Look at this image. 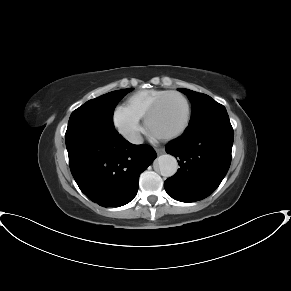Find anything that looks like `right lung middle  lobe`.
Instances as JSON below:
<instances>
[{"mask_svg":"<svg viewBox=\"0 0 291 291\" xmlns=\"http://www.w3.org/2000/svg\"><path fill=\"white\" fill-rule=\"evenodd\" d=\"M133 88L112 91L100 97L87 101L74 110L69 118V124L77 122L96 123L109 127L113 125V112L117 103Z\"/></svg>","mask_w":291,"mask_h":291,"instance_id":"dd1d6c3e","label":"right lung middle lobe"}]
</instances>
